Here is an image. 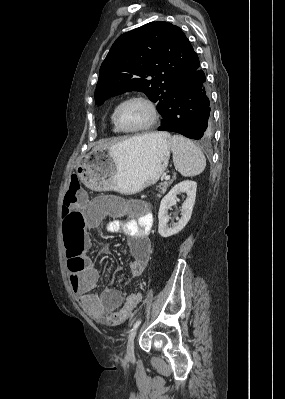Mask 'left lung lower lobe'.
<instances>
[{"label":"left lung lower lobe","mask_w":285,"mask_h":399,"mask_svg":"<svg viewBox=\"0 0 285 399\" xmlns=\"http://www.w3.org/2000/svg\"><path fill=\"white\" fill-rule=\"evenodd\" d=\"M205 80L198 63L177 82L158 130L176 132L196 140L212 136L211 106Z\"/></svg>","instance_id":"0a47b994"}]
</instances>
